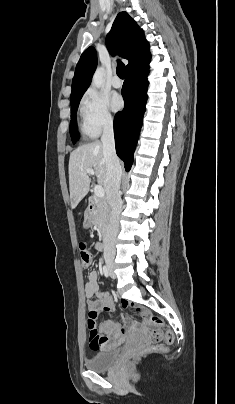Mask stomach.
<instances>
[{
	"label": "stomach",
	"mask_w": 235,
	"mask_h": 404,
	"mask_svg": "<svg viewBox=\"0 0 235 404\" xmlns=\"http://www.w3.org/2000/svg\"><path fill=\"white\" fill-rule=\"evenodd\" d=\"M88 226H89V223H86V224H85V227H88Z\"/></svg>",
	"instance_id": "1"
}]
</instances>
